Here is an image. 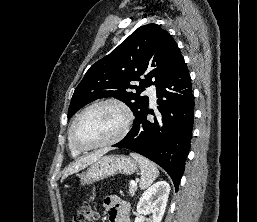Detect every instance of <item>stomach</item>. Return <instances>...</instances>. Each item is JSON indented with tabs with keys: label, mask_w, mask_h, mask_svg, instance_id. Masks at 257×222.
<instances>
[{
	"label": "stomach",
	"mask_w": 257,
	"mask_h": 222,
	"mask_svg": "<svg viewBox=\"0 0 257 222\" xmlns=\"http://www.w3.org/2000/svg\"><path fill=\"white\" fill-rule=\"evenodd\" d=\"M137 162L125 155H106L94 162L80 176L82 185L113 176L115 174L131 175L137 170Z\"/></svg>",
	"instance_id": "obj_1"
}]
</instances>
